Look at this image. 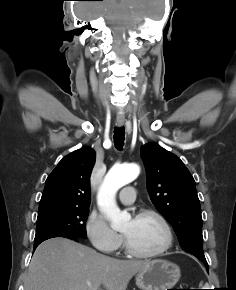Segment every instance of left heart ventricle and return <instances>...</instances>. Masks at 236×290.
Instances as JSON below:
<instances>
[{
    "instance_id": "1",
    "label": "left heart ventricle",
    "mask_w": 236,
    "mask_h": 290,
    "mask_svg": "<svg viewBox=\"0 0 236 290\" xmlns=\"http://www.w3.org/2000/svg\"><path fill=\"white\" fill-rule=\"evenodd\" d=\"M122 232L132 247L141 252L155 251L165 242L163 227L151 216L129 220Z\"/></svg>"
}]
</instances>
